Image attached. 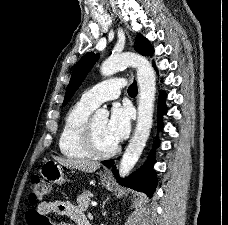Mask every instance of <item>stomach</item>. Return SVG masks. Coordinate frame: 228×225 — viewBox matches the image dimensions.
<instances>
[{
	"label": "stomach",
	"instance_id": "1",
	"mask_svg": "<svg viewBox=\"0 0 228 225\" xmlns=\"http://www.w3.org/2000/svg\"><path fill=\"white\" fill-rule=\"evenodd\" d=\"M65 165H60L57 161H53V159H49V161H45L40 169V175H42L45 181H49V183H53V185H63L66 181V175L64 173ZM103 187H106L108 191H113V183L112 179H105L104 175H102L101 181Z\"/></svg>",
	"mask_w": 228,
	"mask_h": 225
}]
</instances>
